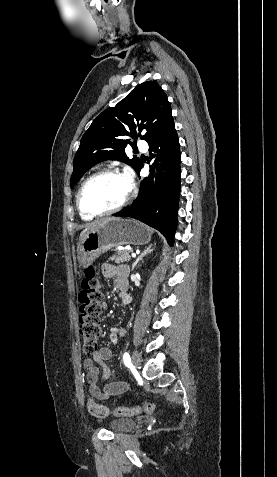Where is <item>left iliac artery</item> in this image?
Segmentation results:
<instances>
[{
	"mask_svg": "<svg viewBox=\"0 0 277 477\" xmlns=\"http://www.w3.org/2000/svg\"><path fill=\"white\" fill-rule=\"evenodd\" d=\"M123 360H124V363L127 367H130L132 364H131V359H130V356L129 354L126 352L124 353L123 355Z\"/></svg>",
	"mask_w": 277,
	"mask_h": 477,
	"instance_id": "1",
	"label": "left iliac artery"
}]
</instances>
